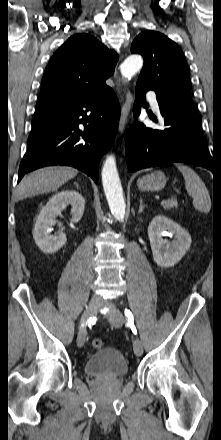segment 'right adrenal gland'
<instances>
[{
    "mask_svg": "<svg viewBox=\"0 0 221 440\" xmlns=\"http://www.w3.org/2000/svg\"><path fill=\"white\" fill-rule=\"evenodd\" d=\"M74 184H75V186H76L77 188H80V186L78 185V183L75 182Z\"/></svg>",
    "mask_w": 221,
    "mask_h": 440,
    "instance_id": "1",
    "label": "right adrenal gland"
}]
</instances>
